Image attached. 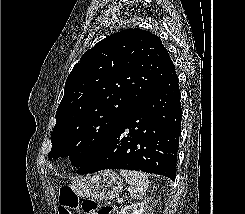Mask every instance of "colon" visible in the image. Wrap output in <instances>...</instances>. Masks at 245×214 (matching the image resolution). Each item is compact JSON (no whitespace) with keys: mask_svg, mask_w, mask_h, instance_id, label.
Returning <instances> with one entry per match:
<instances>
[{"mask_svg":"<svg viewBox=\"0 0 245 214\" xmlns=\"http://www.w3.org/2000/svg\"><path fill=\"white\" fill-rule=\"evenodd\" d=\"M59 214H72L75 211H81L83 214H117V210L113 205H102L100 207L92 200H85L79 203L76 193L67 186L59 191Z\"/></svg>","mask_w":245,"mask_h":214,"instance_id":"5ec220e1","label":"colon"}]
</instances>
